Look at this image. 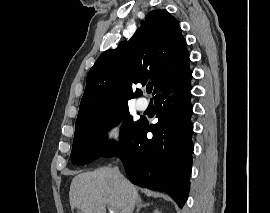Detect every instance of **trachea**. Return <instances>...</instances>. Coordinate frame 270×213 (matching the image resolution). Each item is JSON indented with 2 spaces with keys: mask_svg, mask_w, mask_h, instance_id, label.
Segmentation results:
<instances>
[{
  "mask_svg": "<svg viewBox=\"0 0 270 213\" xmlns=\"http://www.w3.org/2000/svg\"><path fill=\"white\" fill-rule=\"evenodd\" d=\"M152 88L153 87H151V86L150 87H147V93H151L152 92Z\"/></svg>",
  "mask_w": 270,
  "mask_h": 213,
  "instance_id": "1",
  "label": "trachea"
}]
</instances>
